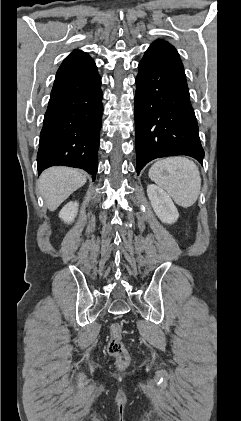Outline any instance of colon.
Here are the masks:
<instances>
[{
  "instance_id": "1",
  "label": "colon",
  "mask_w": 241,
  "mask_h": 421,
  "mask_svg": "<svg viewBox=\"0 0 241 421\" xmlns=\"http://www.w3.org/2000/svg\"><path fill=\"white\" fill-rule=\"evenodd\" d=\"M107 352L116 359L119 367H124L128 364L129 354L122 341V325L119 322H115L111 325Z\"/></svg>"
}]
</instances>
